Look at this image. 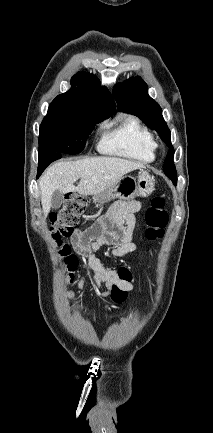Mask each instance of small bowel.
Segmentation results:
<instances>
[{"instance_id": "obj_1", "label": "small bowel", "mask_w": 213, "mask_h": 433, "mask_svg": "<svg viewBox=\"0 0 213 433\" xmlns=\"http://www.w3.org/2000/svg\"><path fill=\"white\" fill-rule=\"evenodd\" d=\"M140 208L138 202L119 201L111 207L106 216L87 223L71 234V245L83 261V266L78 271V288L83 286L84 271L89 270L94 275L93 288L101 284L106 288L99 293L100 298L109 296L114 287L124 291L132 290V284L122 281L118 272L104 265L96 253L103 246H112L111 254L114 257H123L136 251L133 238L137 227L136 213Z\"/></svg>"}]
</instances>
